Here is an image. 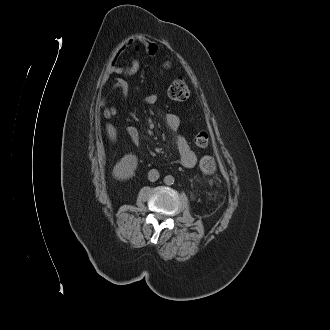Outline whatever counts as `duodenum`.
I'll list each match as a JSON object with an SVG mask.
<instances>
[{
  "label": "duodenum",
  "instance_id": "1",
  "mask_svg": "<svg viewBox=\"0 0 330 330\" xmlns=\"http://www.w3.org/2000/svg\"><path fill=\"white\" fill-rule=\"evenodd\" d=\"M137 135L135 132H132V137L135 138Z\"/></svg>",
  "mask_w": 330,
  "mask_h": 330
}]
</instances>
